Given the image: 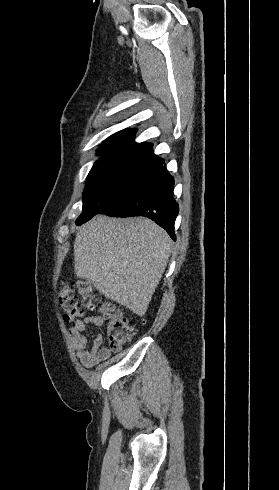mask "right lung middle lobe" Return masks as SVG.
Returning a JSON list of instances; mask_svg holds the SVG:
<instances>
[{"label": "right lung middle lobe", "mask_w": 279, "mask_h": 490, "mask_svg": "<svg viewBox=\"0 0 279 490\" xmlns=\"http://www.w3.org/2000/svg\"><path fill=\"white\" fill-rule=\"evenodd\" d=\"M160 168V164L125 161L94 164L86 180L82 213L76 220V224L81 225L99 213L110 195L126 186L150 178Z\"/></svg>", "instance_id": "1"}]
</instances>
